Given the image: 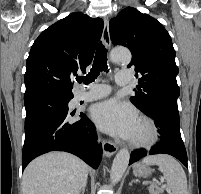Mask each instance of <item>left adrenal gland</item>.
<instances>
[{"label":"left adrenal gland","mask_w":201,"mask_h":194,"mask_svg":"<svg viewBox=\"0 0 201 194\" xmlns=\"http://www.w3.org/2000/svg\"><path fill=\"white\" fill-rule=\"evenodd\" d=\"M133 183H136L134 180H132L129 185L131 186Z\"/></svg>","instance_id":"1"}]
</instances>
